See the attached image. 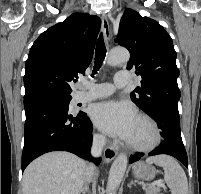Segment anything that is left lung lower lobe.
<instances>
[{
	"instance_id": "left-lung-lower-lobe-1",
	"label": "left lung lower lobe",
	"mask_w": 201,
	"mask_h": 194,
	"mask_svg": "<svg viewBox=\"0 0 201 194\" xmlns=\"http://www.w3.org/2000/svg\"><path fill=\"white\" fill-rule=\"evenodd\" d=\"M151 116L158 122V127L162 130L161 134L164 140L158 148L150 152L148 155H171L188 168L187 153L181 138L178 109L171 107H160L156 109ZM142 156L143 155L141 154L131 156L129 163L131 164L138 161Z\"/></svg>"
}]
</instances>
